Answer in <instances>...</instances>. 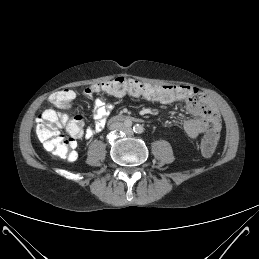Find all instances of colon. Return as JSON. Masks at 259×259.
<instances>
[{
  "instance_id": "obj_1",
  "label": "colon",
  "mask_w": 259,
  "mask_h": 259,
  "mask_svg": "<svg viewBox=\"0 0 259 259\" xmlns=\"http://www.w3.org/2000/svg\"><path fill=\"white\" fill-rule=\"evenodd\" d=\"M95 91H102L118 96L129 94L135 97L161 98L163 103L170 101V96L175 94L173 85H158L143 82L129 77H117L92 86ZM74 98L70 90L54 92L49 100L57 107H65ZM63 127L68 136L60 134L59 128ZM83 131V120L79 115L68 116L49 110L40 114L36 119V134L45 149L53 155L73 161L75 158L76 139L80 138ZM218 132L209 130L201 142L202 153L209 157L216 148Z\"/></svg>"
}]
</instances>
